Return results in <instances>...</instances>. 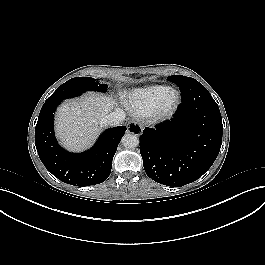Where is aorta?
Masks as SVG:
<instances>
[{"label":"aorta","mask_w":265,"mask_h":265,"mask_svg":"<svg viewBox=\"0 0 265 265\" xmlns=\"http://www.w3.org/2000/svg\"><path fill=\"white\" fill-rule=\"evenodd\" d=\"M121 142L125 148L133 149L139 145V138L134 134H125Z\"/></svg>","instance_id":"1"}]
</instances>
